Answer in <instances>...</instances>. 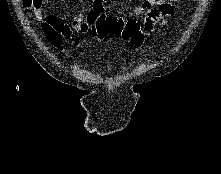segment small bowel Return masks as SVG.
Instances as JSON below:
<instances>
[{"label": "small bowel", "mask_w": 221, "mask_h": 174, "mask_svg": "<svg viewBox=\"0 0 221 174\" xmlns=\"http://www.w3.org/2000/svg\"><path fill=\"white\" fill-rule=\"evenodd\" d=\"M176 1V0H175ZM43 0L33 9L34 18L42 22L45 36L51 44L61 48L59 36L62 35L73 41V31L84 34L89 32L104 12L107 5L113 3L112 0H91L90 9L74 16L71 25L65 24L64 19L58 15L45 17L41 9ZM174 13V5L170 0H141V3L131 10H124L123 14L132 19L144 14L143 27L146 32H152L157 26L165 25L168 18Z\"/></svg>", "instance_id": "obj_1"}]
</instances>
